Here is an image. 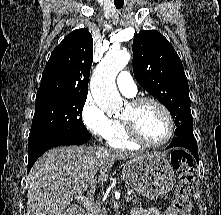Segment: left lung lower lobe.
<instances>
[{
    "label": "left lung lower lobe",
    "mask_w": 221,
    "mask_h": 215,
    "mask_svg": "<svg viewBox=\"0 0 221 215\" xmlns=\"http://www.w3.org/2000/svg\"><path fill=\"white\" fill-rule=\"evenodd\" d=\"M169 147H184L188 149L192 155L198 160L197 142L194 136H182L174 140Z\"/></svg>",
    "instance_id": "0a47b994"
}]
</instances>
